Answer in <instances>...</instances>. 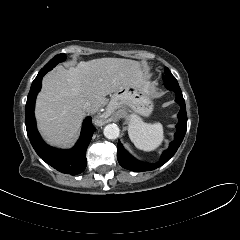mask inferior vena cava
Returning <instances> with one entry per match:
<instances>
[{
    "mask_svg": "<svg viewBox=\"0 0 240 240\" xmlns=\"http://www.w3.org/2000/svg\"><path fill=\"white\" fill-rule=\"evenodd\" d=\"M83 109H84L86 112H91V111H92V105H91V103H90V102L84 103Z\"/></svg>",
    "mask_w": 240,
    "mask_h": 240,
    "instance_id": "inferior-vena-cava-1",
    "label": "inferior vena cava"
}]
</instances>
